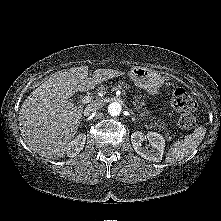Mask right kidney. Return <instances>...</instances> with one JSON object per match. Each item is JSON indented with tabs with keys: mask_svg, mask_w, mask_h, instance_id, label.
Listing matches in <instances>:
<instances>
[{
	"mask_svg": "<svg viewBox=\"0 0 221 221\" xmlns=\"http://www.w3.org/2000/svg\"><path fill=\"white\" fill-rule=\"evenodd\" d=\"M86 135L81 133L75 137L68 145L66 154L69 157H75L84 148Z\"/></svg>",
	"mask_w": 221,
	"mask_h": 221,
	"instance_id": "right-kidney-1",
	"label": "right kidney"
}]
</instances>
